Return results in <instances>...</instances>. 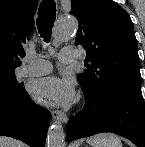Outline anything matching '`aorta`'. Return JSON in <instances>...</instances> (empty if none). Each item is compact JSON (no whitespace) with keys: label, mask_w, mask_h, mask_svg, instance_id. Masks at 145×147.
I'll use <instances>...</instances> for the list:
<instances>
[{"label":"aorta","mask_w":145,"mask_h":147,"mask_svg":"<svg viewBox=\"0 0 145 147\" xmlns=\"http://www.w3.org/2000/svg\"><path fill=\"white\" fill-rule=\"evenodd\" d=\"M77 23L72 19H60L55 28L54 39L61 43L67 41L77 30ZM47 147H65V133L62 123L54 122L48 130Z\"/></svg>","instance_id":"aorta-1"}]
</instances>
